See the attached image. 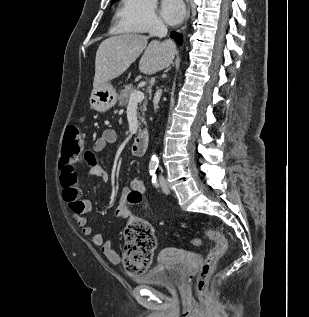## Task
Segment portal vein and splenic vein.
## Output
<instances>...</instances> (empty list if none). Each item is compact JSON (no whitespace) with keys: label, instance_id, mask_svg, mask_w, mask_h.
Wrapping results in <instances>:
<instances>
[{"label":"portal vein and splenic vein","instance_id":"obj_1","mask_svg":"<svg viewBox=\"0 0 309 317\" xmlns=\"http://www.w3.org/2000/svg\"><path fill=\"white\" fill-rule=\"evenodd\" d=\"M144 99V93L139 90H134L133 93L130 95L128 106L137 105Z\"/></svg>","mask_w":309,"mask_h":317}]
</instances>
